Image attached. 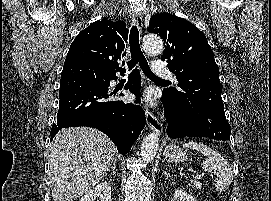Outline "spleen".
Here are the masks:
<instances>
[{"label":"spleen","mask_w":271,"mask_h":201,"mask_svg":"<svg viewBox=\"0 0 271 201\" xmlns=\"http://www.w3.org/2000/svg\"><path fill=\"white\" fill-rule=\"evenodd\" d=\"M184 148H192L201 152L205 160L201 164L202 169L212 172L217 176L215 189L221 193L226 191L232 182V169L229 163L215 150L202 143L189 141L183 144Z\"/></svg>","instance_id":"obj_1"}]
</instances>
